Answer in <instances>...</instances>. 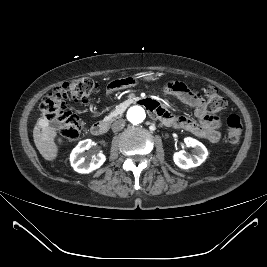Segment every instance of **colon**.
<instances>
[{
    "label": "colon",
    "mask_w": 267,
    "mask_h": 267,
    "mask_svg": "<svg viewBox=\"0 0 267 267\" xmlns=\"http://www.w3.org/2000/svg\"><path fill=\"white\" fill-rule=\"evenodd\" d=\"M96 88V83L90 78H79L65 82L49 92L40 103L43 120L60 125L58 141L66 144L80 137V121L70 108L71 101L86 100ZM207 109L212 114L221 112L226 107L225 98L217 89L206 91ZM227 138L230 143H237L242 134V122L238 115L232 114L226 120Z\"/></svg>",
    "instance_id": "1"
}]
</instances>
